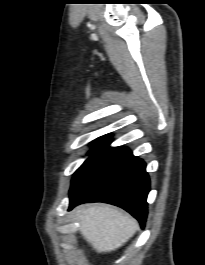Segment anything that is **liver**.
Wrapping results in <instances>:
<instances>
[{"mask_svg":"<svg viewBox=\"0 0 205 265\" xmlns=\"http://www.w3.org/2000/svg\"><path fill=\"white\" fill-rule=\"evenodd\" d=\"M74 213L80 233L98 253L118 249L139 229L135 219L107 205L80 206Z\"/></svg>","mask_w":205,"mask_h":265,"instance_id":"liver-1","label":"liver"}]
</instances>
